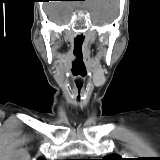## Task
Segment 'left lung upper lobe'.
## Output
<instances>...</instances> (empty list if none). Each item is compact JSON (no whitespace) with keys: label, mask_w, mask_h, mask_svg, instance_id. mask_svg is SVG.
Wrapping results in <instances>:
<instances>
[{"label":"left lung upper lobe","mask_w":160,"mask_h":160,"mask_svg":"<svg viewBox=\"0 0 160 160\" xmlns=\"http://www.w3.org/2000/svg\"><path fill=\"white\" fill-rule=\"evenodd\" d=\"M102 160H123V159L119 155L113 154L105 158H102Z\"/></svg>","instance_id":"1"}]
</instances>
